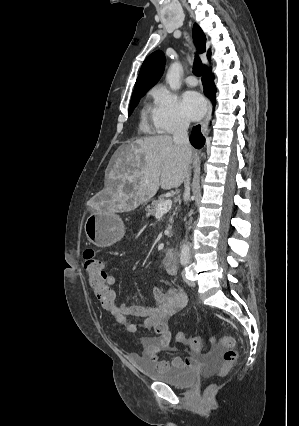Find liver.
Returning a JSON list of instances; mask_svg holds the SVG:
<instances>
[{"label": "liver", "instance_id": "liver-1", "mask_svg": "<svg viewBox=\"0 0 299 426\" xmlns=\"http://www.w3.org/2000/svg\"><path fill=\"white\" fill-rule=\"evenodd\" d=\"M192 161L169 135L144 137L119 148L102 192L101 204L114 212H128L148 201L158 191L178 188Z\"/></svg>", "mask_w": 299, "mask_h": 426}]
</instances>
